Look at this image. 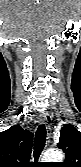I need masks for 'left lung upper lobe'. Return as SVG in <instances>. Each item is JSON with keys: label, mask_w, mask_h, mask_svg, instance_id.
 <instances>
[{"label": "left lung upper lobe", "mask_w": 81, "mask_h": 167, "mask_svg": "<svg viewBox=\"0 0 81 167\" xmlns=\"http://www.w3.org/2000/svg\"><path fill=\"white\" fill-rule=\"evenodd\" d=\"M58 148L65 152V162L60 167H81V132L71 125L61 128Z\"/></svg>", "instance_id": "5c2ea615"}]
</instances>
